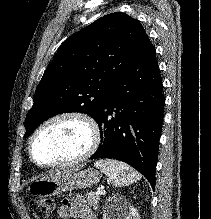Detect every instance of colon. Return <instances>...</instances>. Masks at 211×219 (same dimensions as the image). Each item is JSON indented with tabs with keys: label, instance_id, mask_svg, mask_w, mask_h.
Segmentation results:
<instances>
[{
	"label": "colon",
	"instance_id": "obj_1",
	"mask_svg": "<svg viewBox=\"0 0 211 219\" xmlns=\"http://www.w3.org/2000/svg\"><path fill=\"white\" fill-rule=\"evenodd\" d=\"M28 208L36 219H50L55 210L54 203L48 199H32Z\"/></svg>",
	"mask_w": 211,
	"mask_h": 219
}]
</instances>
